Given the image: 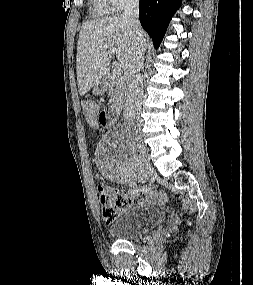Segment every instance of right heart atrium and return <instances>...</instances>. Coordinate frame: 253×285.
<instances>
[{"label": "right heart atrium", "mask_w": 253, "mask_h": 285, "mask_svg": "<svg viewBox=\"0 0 253 285\" xmlns=\"http://www.w3.org/2000/svg\"><path fill=\"white\" fill-rule=\"evenodd\" d=\"M139 0H109L111 6L114 10L120 11L125 9L126 7H129L131 5H134Z\"/></svg>", "instance_id": "right-heart-atrium-1"}]
</instances>
